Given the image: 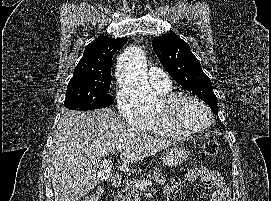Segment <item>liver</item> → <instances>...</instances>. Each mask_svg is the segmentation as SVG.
<instances>
[{"mask_svg": "<svg viewBox=\"0 0 271 201\" xmlns=\"http://www.w3.org/2000/svg\"><path fill=\"white\" fill-rule=\"evenodd\" d=\"M176 141L156 138L103 108L89 112L64 111L54 130L50 148V177L55 201H79L100 180L102 157L123 146L125 164L143 160Z\"/></svg>", "mask_w": 271, "mask_h": 201, "instance_id": "liver-1", "label": "liver"}]
</instances>
